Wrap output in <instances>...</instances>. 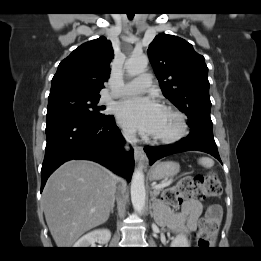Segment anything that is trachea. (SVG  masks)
Here are the masks:
<instances>
[{"label": "trachea", "mask_w": 261, "mask_h": 261, "mask_svg": "<svg viewBox=\"0 0 261 261\" xmlns=\"http://www.w3.org/2000/svg\"><path fill=\"white\" fill-rule=\"evenodd\" d=\"M127 15H128V17H129L130 19H132L133 16H134V14H132V13H128Z\"/></svg>", "instance_id": "obj_1"}]
</instances>
